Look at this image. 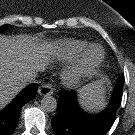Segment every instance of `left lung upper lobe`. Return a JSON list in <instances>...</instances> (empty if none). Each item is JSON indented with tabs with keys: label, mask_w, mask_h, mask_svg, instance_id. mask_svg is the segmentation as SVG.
<instances>
[{
	"label": "left lung upper lobe",
	"mask_w": 135,
	"mask_h": 135,
	"mask_svg": "<svg viewBox=\"0 0 135 135\" xmlns=\"http://www.w3.org/2000/svg\"><path fill=\"white\" fill-rule=\"evenodd\" d=\"M124 77V75L122 74L119 78H123Z\"/></svg>",
	"instance_id": "obj_1"
}]
</instances>
